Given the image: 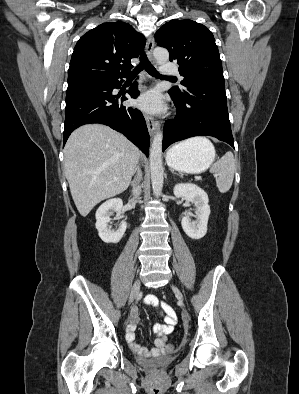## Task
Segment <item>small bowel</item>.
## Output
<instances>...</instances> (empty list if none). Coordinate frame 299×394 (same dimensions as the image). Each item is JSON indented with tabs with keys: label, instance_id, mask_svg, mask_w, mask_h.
I'll return each instance as SVG.
<instances>
[{
	"label": "small bowel",
	"instance_id": "small-bowel-1",
	"mask_svg": "<svg viewBox=\"0 0 299 394\" xmlns=\"http://www.w3.org/2000/svg\"><path fill=\"white\" fill-rule=\"evenodd\" d=\"M145 303L160 311L164 316V323H157L152 326L156 333L155 346L151 349L140 346L135 341V329L138 323V309L133 307L130 312L129 323L126 329V340L131 349L141 357H158L164 353L167 337L173 332L177 324V314L172 306L155 295H148Z\"/></svg>",
	"mask_w": 299,
	"mask_h": 394
}]
</instances>
